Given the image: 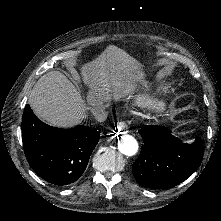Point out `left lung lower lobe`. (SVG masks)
Returning <instances> with one entry per match:
<instances>
[{"instance_id": "0a47b994", "label": "left lung lower lobe", "mask_w": 221, "mask_h": 221, "mask_svg": "<svg viewBox=\"0 0 221 221\" xmlns=\"http://www.w3.org/2000/svg\"><path fill=\"white\" fill-rule=\"evenodd\" d=\"M144 140L141 152L132 165V172L144 188L174 187L199 167L203 158V144L199 137L185 144L164 126L147 125L139 130Z\"/></svg>"}]
</instances>
